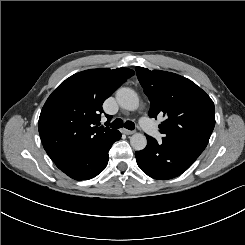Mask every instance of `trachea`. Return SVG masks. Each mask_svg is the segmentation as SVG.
<instances>
[{"label":"trachea","instance_id":"3493384b","mask_svg":"<svg viewBox=\"0 0 245 245\" xmlns=\"http://www.w3.org/2000/svg\"><path fill=\"white\" fill-rule=\"evenodd\" d=\"M111 128H122L125 127L126 129L129 130H134L135 129V124L132 121H126L125 124H123L122 119H116L114 120L110 125Z\"/></svg>","mask_w":245,"mask_h":245}]
</instances>
